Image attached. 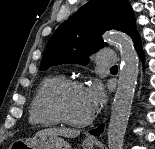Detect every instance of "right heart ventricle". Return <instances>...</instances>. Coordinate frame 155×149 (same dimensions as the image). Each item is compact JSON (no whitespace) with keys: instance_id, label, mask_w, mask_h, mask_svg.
I'll return each instance as SVG.
<instances>
[{"instance_id":"e07e8e85","label":"right heart ventricle","mask_w":155,"mask_h":149,"mask_svg":"<svg viewBox=\"0 0 155 149\" xmlns=\"http://www.w3.org/2000/svg\"><path fill=\"white\" fill-rule=\"evenodd\" d=\"M64 79L62 74L50 75L45 77L37 86L29 106V121L31 124L53 127L60 123V120L49 106V93L57 83Z\"/></svg>"}]
</instances>
